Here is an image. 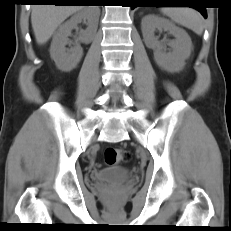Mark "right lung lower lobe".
Returning <instances> with one entry per match:
<instances>
[{
	"instance_id": "obj_1",
	"label": "right lung lower lobe",
	"mask_w": 231,
	"mask_h": 231,
	"mask_svg": "<svg viewBox=\"0 0 231 231\" xmlns=\"http://www.w3.org/2000/svg\"><path fill=\"white\" fill-rule=\"evenodd\" d=\"M30 1L34 3H52L55 5H70L73 3H79L77 1H82V0H30Z\"/></svg>"
}]
</instances>
